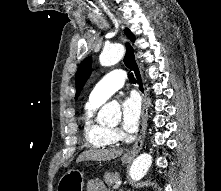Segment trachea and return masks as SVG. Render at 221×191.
I'll list each match as a JSON object with an SVG mask.
<instances>
[{"label": "trachea", "instance_id": "3493384b", "mask_svg": "<svg viewBox=\"0 0 221 191\" xmlns=\"http://www.w3.org/2000/svg\"><path fill=\"white\" fill-rule=\"evenodd\" d=\"M128 77H129V80H130L132 83H136V80H135V77H134L133 73H130Z\"/></svg>", "mask_w": 221, "mask_h": 191}]
</instances>
